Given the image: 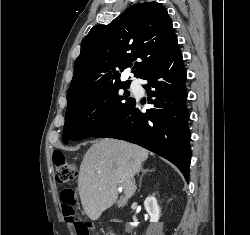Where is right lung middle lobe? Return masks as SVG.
Listing matches in <instances>:
<instances>
[{
  "label": "right lung middle lobe",
  "mask_w": 250,
  "mask_h": 235,
  "mask_svg": "<svg viewBox=\"0 0 250 235\" xmlns=\"http://www.w3.org/2000/svg\"><path fill=\"white\" fill-rule=\"evenodd\" d=\"M128 86L111 85L80 96L69 102L66 109L63 142L94 136L117 118L133 101ZM124 89L119 96L118 90Z\"/></svg>",
  "instance_id": "dd1d6c3e"
}]
</instances>
